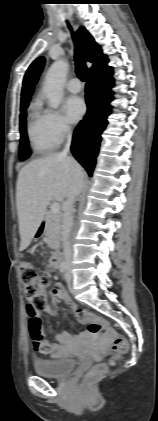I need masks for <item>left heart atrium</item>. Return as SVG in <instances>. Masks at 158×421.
Here are the masks:
<instances>
[{
	"label": "left heart atrium",
	"mask_w": 158,
	"mask_h": 421,
	"mask_svg": "<svg viewBox=\"0 0 158 421\" xmlns=\"http://www.w3.org/2000/svg\"><path fill=\"white\" fill-rule=\"evenodd\" d=\"M64 110L71 122H77L85 114L86 105L82 98L70 96L64 102Z\"/></svg>",
	"instance_id": "left-heart-atrium-1"
}]
</instances>
